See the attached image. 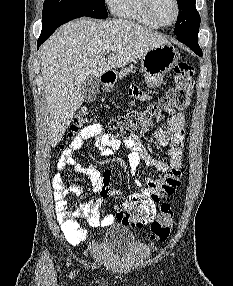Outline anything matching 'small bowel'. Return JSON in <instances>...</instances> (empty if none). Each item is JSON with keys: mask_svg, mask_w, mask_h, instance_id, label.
Here are the masks:
<instances>
[{"mask_svg": "<svg viewBox=\"0 0 233 286\" xmlns=\"http://www.w3.org/2000/svg\"><path fill=\"white\" fill-rule=\"evenodd\" d=\"M131 94L142 100L152 98L150 94L142 92L137 87L131 89ZM184 125L185 114L179 112L169 118L165 127L156 130L154 133L156 141L160 145L168 147L167 160L151 156L143 148L138 136H129L121 141L112 134L104 133L103 126L100 123L85 127L77 134L58 159V171L52 179L57 219L69 243L78 245L87 238L88 231L82 228L79 223V220L83 217L87 219L89 226L93 229L109 226L116 219L126 225L142 226L154 218L155 206L159 200L173 195L180 185ZM89 139L94 140L95 146L103 157L111 156L113 151L123 144L129 150L128 164L132 174H135L143 163L162 172V177L158 179L147 178L145 187L137 181L136 184L140 188L138 192L132 194L129 201L124 203L116 213H108L102 216L100 200L107 199L110 196H119L122 192L119 189L110 187V172L100 174L93 168L80 165L74 158V153ZM66 167H72L77 174L85 175L91 182L93 190L100 195V199L83 202L75 210H69L68 196L70 194L80 196L82 189L77 186L66 187L62 176V170ZM145 199L149 202L143 207L145 217L141 222L135 223L128 217V212L135 201L141 202Z\"/></svg>", "mask_w": 233, "mask_h": 286, "instance_id": "obj_1", "label": "small bowel"}]
</instances>
